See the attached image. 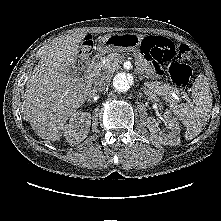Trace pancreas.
Returning a JSON list of instances; mask_svg holds the SVG:
<instances>
[{
    "label": "pancreas",
    "mask_w": 221,
    "mask_h": 221,
    "mask_svg": "<svg viewBox=\"0 0 221 221\" xmlns=\"http://www.w3.org/2000/svg\"><path fill=\"white\" fill-rule=\"evenodd\" d=\"M124 59L125 57L118 53L108 54L104 58V62L100 63L99 68L103 71H115L119 68V64L124 62ZM145 86L166 100L173 99V94H179V91L176 88L169 84H162L159 81L146 82Z\"/></svg>",
    "instance_id": "pancreas-1"
}]
</instances>
